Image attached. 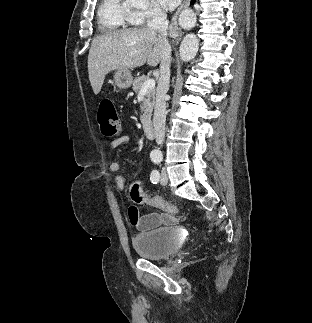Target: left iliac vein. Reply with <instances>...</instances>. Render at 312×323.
<instances>
[{
    "label": "left iliac vein",
    "instance_id": "1",
    "mask_svg": "<svg viewBox=\"0 0 312 323\" xmlns=\"http://www.w3.org/2000/svg\"><path fill=\"white\" fill-rule=\"evenodd\" d=\"M160 182L163 185H166L167 182H168L167 172H166V169L165 168H162Z\"/></svg>",
    "mask_w": 312,
    "mask_h": 323
}]
</instances>
